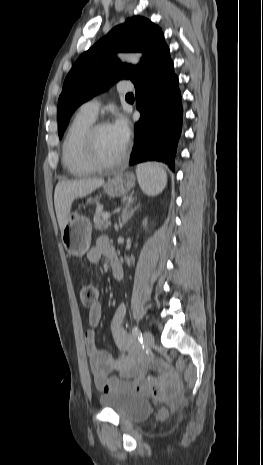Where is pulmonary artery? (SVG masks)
I'll return each instance as SVG.
<instances>
[{
  "label": "pulmonary artery",
  "instance_id": "obj_1",
  "mask_svg": "<svg viewBox=\"0 0 263 465\" xmlns=\"http://www.w3.org/2000/svg\"><path fill=\"white\" fill-rule=\"evenodd\" d=\"M132 90V86L127 83H120L118 85V91L120 93H126ZM100 107V101L96 98L84 102L79 109V112L94 118L97 116Z\"/></svg>",
  "mask_w": 263,
  "mask_h": 465
}]
</instances>
